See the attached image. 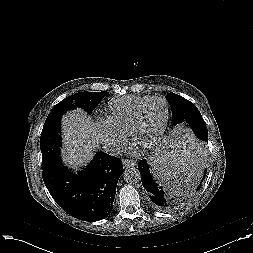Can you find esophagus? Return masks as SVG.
<instances>
[{
	"label": "esophagus",
	"mask_w": 253,
	"mask_h": 253,
	"mask_svg": "<svg viewBox=\"0 0 253 253\" xmlns=\"http://www.w3.org/2000/svg\"><path fill=\"white\" fill-rule=\"evenodd\" d=\"M135 165H136L135 161H133L131 159H124L123 160V166H124V168H130V167H133Z\"/></svg>",
	"instance_id": "1"
}]
</instances>
